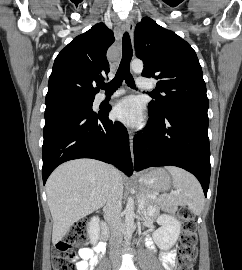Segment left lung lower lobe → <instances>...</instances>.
Segmentation results:
<instances>
[{
	"mask_svg": "<svg viewBox=\"0 0 242 270\" xmlns=\"http://www.w3.org/2000/svg\"><path fill=\"white\" fill-rule=\"evenodd\" d=\"M207 110L181 108L157 116L148 109L146 131L133 141L134 169L183 168L196 176L207 196L211 172Z\"/></svg>",
	"mask_w": 242,
	"mask_h": 270,
	"instance_id": "obj_1",
	"label": "left lung lower lobe"
}]
</instances>
